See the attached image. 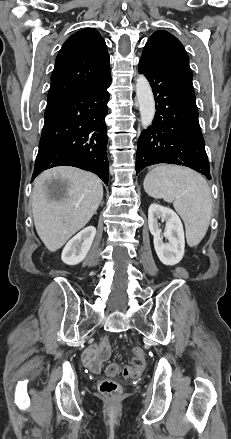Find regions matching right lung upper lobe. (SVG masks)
I'll list each match as a JSON object with an SVG mask.
<instances>
[{
	"label": "right lung upper lobe",
	"mask_w": 231,
	"mask_h": 439,
	"mask_svg": "<svg viewBox=\"0 0 231 439\" xmlns=\"http://www.w3.org/2000/svg\"><path fill=\"white\" fill-rule=\"evenodd\" d=\"M110 76L109 55L99 32L86 28L71 35L55 61L47 97L50 107Z\"/></svg>",
	"instance_id": "right-lung-upper-lobe-1"
}]
</instances>
